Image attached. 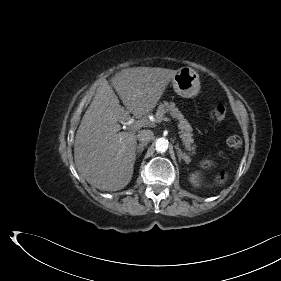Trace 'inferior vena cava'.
<instances>
[{
	"label": "inferior vena cava",
	"instance_id": "obj_1",
	"mask_svg": "<svg viewBox=\"0 0 281 281\" xmlns=\"http://www.w3.org/2000/svg\"><path fill=\"white\" fill-rule=\"evenodd\" d=\"M154 137V133L147 129V130H141L139 131L137 138L142 143H148L150 140H152Z\"/></svg>",
	"mask_w": 281,
	"mask_h": 281
}]
</instances>
